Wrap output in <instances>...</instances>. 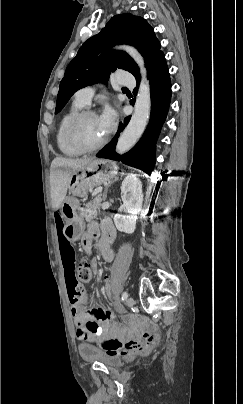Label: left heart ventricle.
Here are the masks:
<instances>
[{
	"label": "left heart ventricle",
	"instance_id": "1",
	"mask_svg": "<svg viewBox=\"0 0 243 404\" xmlns=\"http://www.w3.org/2000/svg\"><path fill=\"white\" fill-rule=\"evenodd\" d=\"M74 133L76 137L87 145H95L104 139L102 134L98 116H88L79 122Z\"/></svg>",
	"mask_w": 243,
	"mask_h": 404
}]
</instances>
